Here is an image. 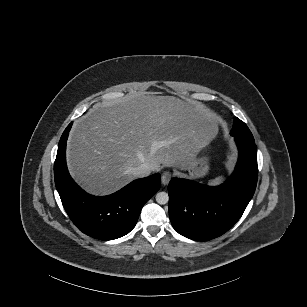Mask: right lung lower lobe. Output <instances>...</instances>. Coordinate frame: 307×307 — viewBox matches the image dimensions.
<instances>
[{
  "label": "right lung lower lobe",
  "mask_w": 307,
  "mask_h": 307,
  "mask_svg": "<svg viewBox=\"0 0 307 307\" xmlns=\"http://www.w3.org/2000/svg\"><path fill=\"white\" fill-rule=\"evenodd\" d=\"M72 123L63 132L54 163L55 185L73 223L85 234L112 240L129 233L137 223L143 205L159 190V173L138 179L109 196H93L82 190L69 175L66 141Z\"/></svg>",
  "instance_id": "right-lung-lower-lobe-1"
}]
</instances>
